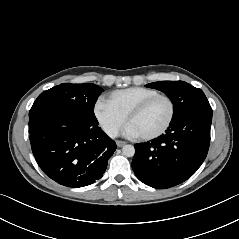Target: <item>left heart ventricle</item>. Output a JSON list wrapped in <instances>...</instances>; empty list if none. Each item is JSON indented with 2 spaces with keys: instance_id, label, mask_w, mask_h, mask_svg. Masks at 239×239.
I'll list each match as a JSON object with an SVG mask.
<instances>
[{
  "instance_id": "1",
  "label": "left heart ventricle",
  "mask_w": 239,
  "mask_h": 239,
  "mask_svg": "<svg viewBox=\"0 0 239 239\" xmlns=\"http://www.w3.org/2000/svg\"><path fill=\"white\" fill-rule=\"evenodd\" d=\"M170 116V105L164 98L152 102L143 112L133 117L129 124L139 136L149 135L160 130Z\"/></svg>"
}]
</instances>
